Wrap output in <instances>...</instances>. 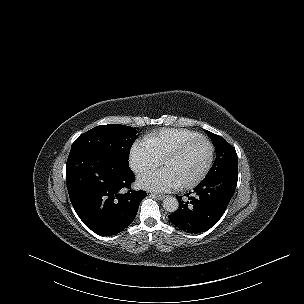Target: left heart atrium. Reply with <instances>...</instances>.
Returning <instances> with one entry per match:
<instances>
[{"label": "left heart atrium", "mask_w": 304, "mask_h": 304, "mask_svg": "<svg viewBox=\"0 0 304 304\" xmlns=\"http://www.w3.org/2000/svg\"><path fill=\"white\" fill-rule=\"evenodd\" d=\"M142 184L154 191L169 192L179 187V182L163 169H153L142 174Z\"/></svg>", "instance_id": "39dd6f15"}]
</instances>
